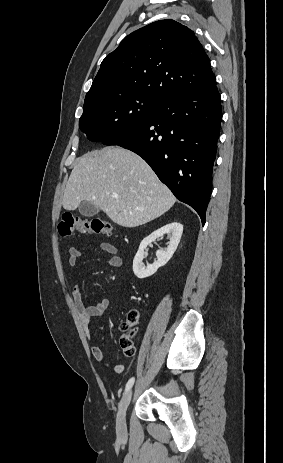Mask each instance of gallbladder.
<instances>
[{
  "mask_svg": "<svg viewBox=\"0 0 283 463\" xmlns=\"http://www.w3.org/2000/svg\"><path fill=\"white\" fill-rule=\"evenodd\" d=\"M78 210L82 216L85 217H92L99 213L100 209L96 206H94L91 202L89 201H83L80 203Z\"/></svg>",
  "mask_w": 283,
  "mask_h": 463,
  "instance_id": "gallbladder-1",
  "label": "gallbladder"
}]
</instances>
